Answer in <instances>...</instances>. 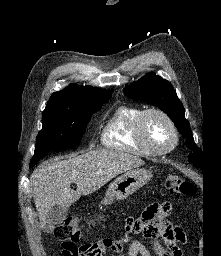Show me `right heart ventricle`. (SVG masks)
Masks as SVG:
<instances>
[{
    "instance_id": "right-heart-ventricle-1",
    "label": "right heart ventricle",
    "mask_w": 221,
    "mask_h": 256,
    "mask_svg": "<svg viewBox=\"0 0 221 256\" xmlns=\"http://www.w3.org/2000/svg\"><path fill=\"white\" fill-rule=\"evenodd\" d=\"M142 111L143 109L137 106H118L102 127V144L108 148L140 156H151L152 153L142 146L135 137L136 121Z\"/></svg>"
}]
</instances>
